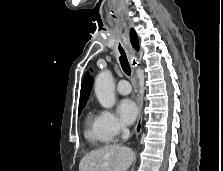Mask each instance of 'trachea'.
<instances>
[{"instance_id": "3493384b", "label": "trachea", "mask_w": 223, "mask_h": 171, "mask_svg": "<svg viewBox=\"0 0 223 171\" xmlns=\"http://www.w3.org/2000/svg\"><path fill=\"white\" fill-rule=\"evenodd\" d=\"M119 51L121 53V56L119 57L121 67H122L123 71L129 76L131 74V67L128 62L126 53L120 45H119Z\"/></svg>"}]
</instances>
